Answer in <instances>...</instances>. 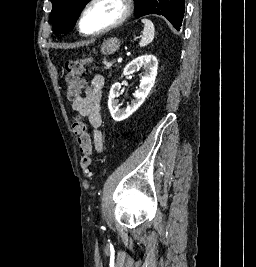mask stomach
I'll list each match as a JSON object with an SVG mask.
<instances>
[{
    "mask_svg": "<svg viewBox=\"0 0 256 267\" xmlns=\"http://www.w3.org/2000/svg\"><path fill=\"white\" fill-rule=\"evenodd\" d=\"M120 44L121 42L118 38H108V40H104L100 52L105 54V56H107V54H114V52L119 50Z\"/></svg>",
    "mask_w": 256,
    "mask_h": 267,
    "instance_id": "obj_1",
    "label": "stomach"
}]
</instances>
